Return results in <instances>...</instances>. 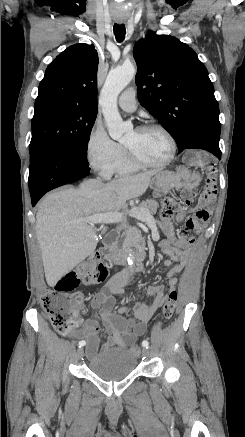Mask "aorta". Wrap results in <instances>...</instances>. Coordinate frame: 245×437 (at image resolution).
<instances>
[{"mask_svg":"<svg viewBox=\"0 0 245 437\" xmlns=\"http://www.w3.org/2000/svg\"><path fill=\"white\" fill-rule=\"evenodd\" d=\"M135 75V68L132 64H125L112 69L106 78L100 94V105L103 110L104 119L109 135L114 140L124 137L129 127L122 121L118 112L117 97L129 84ZM128 263L133 266L134 257L129 255Z\"/></svg>","mask_w":245,"mask_h":437,"instance_id":"aorta-1","label":"aorta"}]
</instances>
